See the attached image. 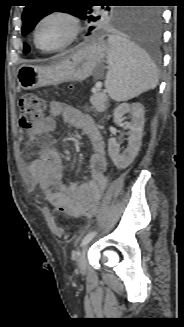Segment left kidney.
Segmentation results:
<instances>
[{
  "instance_id": "5707ae66",
  "label": "left kidney",
  "mask_w": 184,
  "mask_h": 327,
  "mask_svg": "<svg viewBox=\"0 0 184 327\" xmlns=\"http://www.w3.org/2000/svg\"><path fill=\"white\" fill-rule=\"evenodd\" d=\"M131 114V121L126 123L124 128L129 129V141L126 150L120 153L119 144L115 138L108 141V152L114 165L118 169L127 168L138 155L141 147L144 127V108L140 103H122L114 109V122L119 123L121 118L126 114Z\"/></svg>"
}]
</instances>
